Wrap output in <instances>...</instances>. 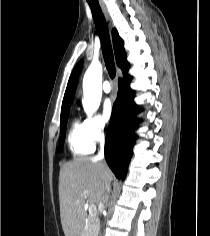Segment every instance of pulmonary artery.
Listing matches in <instances>:
<instances>
[{
	"instance_id": "1",
	"label": "pulmonary artery",
	"mask_w": 210,
	"mask_h": 236,
	"mask_svg": "<svg viewBox=\"0 0 210 236\" xmlns=\"http://www.w3.org/2000/svg\"><path fill=\"white\" fill-rule=\"evenodd\" d=\"M102 88H103V91L105 93H110L112 91L111 85H110V83L108 81L103 83V87Z\"/></svg>"
}]
</instances>
